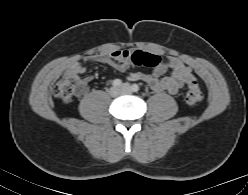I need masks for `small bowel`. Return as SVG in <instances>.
<instances>
[{
  "instance_id": "obj_1",
  "label": "small bowel",
  "mask_w": 248,
  "mask_h": 195,
  "mask_svg": "<svg viewBox=\"0 0 248 195\" xmlns=\"http://www.w3.org/2000/svg\"><path fill=\"white\" fill-rule=\"evenodd\" d=\"M127 51H114L112 53H98L73 63L67 70L68 74L83 75L88 61H95L110 65L118 71L125 72L130 68ZM167 69L172 70L170 76H164ZM90 78H86L88 81ZM128 79L131 81L142 80L154 91H167L176 94L183 86L195 81L196 78L189 66L176 57H167L151 72H130Z\"/></svg>"
}]
</instances>
